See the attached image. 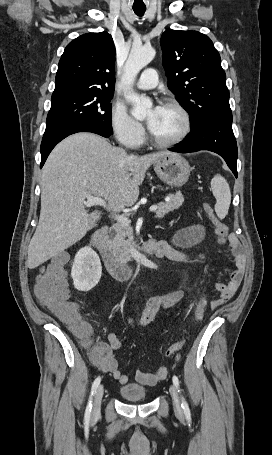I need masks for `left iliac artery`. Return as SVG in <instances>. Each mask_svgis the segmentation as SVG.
Masks as SVG:
<instances>
[{"instance_id":"44dca946","label":"left iliac artery","mask_w":272,"mask_h":455,"mask_svg":"<svg viewBox=\"0 0 272 455\" xmlns=\"http://www.w3.org/2000/svg\"><path fill=\"white\" fill-rule=\"evenodd\" d=\"M172 380H173V383H174L175 387L178 389V392H179L180 390H179V379H178V377L174 375ZM181 406H182V409L184 410L185 415L189 416L190 415V409H189V406H188L186 400L183 397H182Z\"/></svg>"}]
</instances>
